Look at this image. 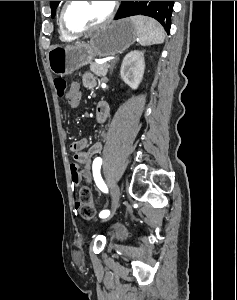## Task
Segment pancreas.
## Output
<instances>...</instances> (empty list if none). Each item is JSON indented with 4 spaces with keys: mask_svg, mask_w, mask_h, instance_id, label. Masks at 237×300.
I'll list each match as a JSON object with an SVG mask.
<instances>
[{
    "mask_svg": "<svg viewBox=\"0 0 237 300\" xmlns=\"http://www.w3.org/2000/svg\"><path fill=\"white\" fill-rule=\"evenodd\" d=\"M111 63H113V61H109L110 67H111ZM106 64V63H90V71H92V73H94V75H97V77H105V75H107L108 73V69L110 68H106L104 69L102 66ZM107 65V64H106Z\"/></svg>",
    "mask_w": 237,
    "mask_h": 300,
    "instance_id": "pancreas-1",
    "label": "pancreas"
}]
</instances>
